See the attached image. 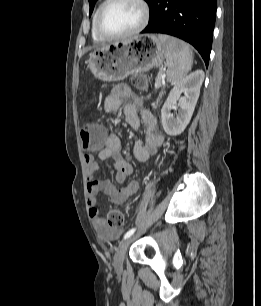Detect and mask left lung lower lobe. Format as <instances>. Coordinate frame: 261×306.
Wrapping results in <instances>:
<instances>
[{"label":"left lung lower lobe","instance_id":"obj_1","mask_svg":"<svg viewBox=\"0 0 261 306\" xmlns=\"http://www.w3.org/2000/svg\"><path fill=\"white\" fill-rule=\"evenodd\" d=\"M148 26L141 33H162L193 45L208 66L216 0H152Z\"/></svg>","mask_w":261,"mask_h":306}]
</instances>
